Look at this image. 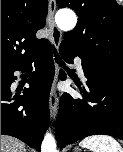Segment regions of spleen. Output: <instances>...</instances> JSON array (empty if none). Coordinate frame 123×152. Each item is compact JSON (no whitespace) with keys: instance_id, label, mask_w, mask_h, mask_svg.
I'll return each instance as SVG.
<instances>
[{"instance_id":"3e777b00","label":"spleen","mask_w":123,"mask_h":152,"mask_svg":"<svg viewBox=\"0 0 123 152\" xmlns=\"http://www.w3.org/2000/svg\"><path fill=\"white\" fill-rule=\"evenodd\" d=\"M79 145L91 152H123L121 145L111 136L93 135L83 139Z\"/></svg>"}]
</instances>
